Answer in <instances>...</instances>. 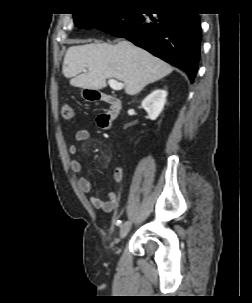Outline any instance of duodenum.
Instances as JSON below:
<instances>
[{
  "label": "duodenum",
  "instance_id": "duodenum-1",
  "mask_svg": "<svg viewBox=\"0 0 252 303\" xmlns=\"http://www.w3.org/2000/svg\"><path fill=\"white\" fill-rule=\"evenodd\" d=\"M92 98L103 100L109 104L108 111L101 115V118L105 122L106 126L109 127L110 124L118 117L121 111V107H122L121 101L114 96L100 94L95 91L92 92Z\"/></svg>",
  "mask_w": 252,
  "mask_h": 303
}]
</instances>
